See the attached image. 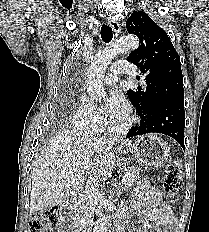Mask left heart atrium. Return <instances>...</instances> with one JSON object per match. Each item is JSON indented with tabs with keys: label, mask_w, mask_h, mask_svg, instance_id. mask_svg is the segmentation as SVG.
<instances>
[{
	"label": "left heart atrium",
	"mask_w": 209,
	"mask_h": 232,
	"mask_svg": "<svg viewBox=\"0 0 209 232\" xmlns=\"http://www.w3.org/2000/svg\"><path fill=\"white\" fill-rule=\"evenodd\" d=\"M106 104L108 106L107 121L109 123L123 121L129 115L130 105L126 98L118 92H110Z\"/></svg>",
	"instance_id": "obj_1"
}]
</instances>
